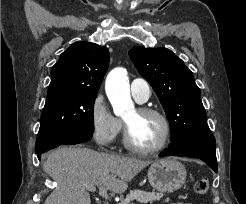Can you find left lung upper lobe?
I'll list each match as a JSON object with an SVG mask.
<instances>
[{
    "label": "left lung upper lobe",
    "instance_id": "obj_1",
    "mask_svg": "<svg viewBox=\"0 0 246 204\" xmlns=\"http://www.w3.org/2000/svg\"><path fill=\"white\" fill-rule=\"evenodd\" d=\"M129 56L165 110L172 129L171 141L209 128L200 89L180 58L166 48L145 47L132 48Z\"/></svg>",
    "mask_w": 246,
    "mask_h": 204
}]
</instances>
